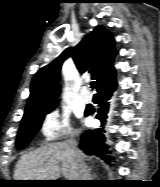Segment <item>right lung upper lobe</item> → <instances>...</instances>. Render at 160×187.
Wrapping results in <instances>:
<instances>
[{
    "instance_id": "right-lung-upper-lobe-1",
    "label": "right lung upper lobe",
    "mask_w": 160,
    "mask_h": 187,
    "mask_svg": "<svg viewBox=\"0 0 160 187\" xmlns=\"http://www.w3.org/2000/svg\"><path fill=\"white\" fill-rule=\"evenodd\" d=\"M114 38L110 31L98 25L75 47L64 50L54 61L42 67L31 82L26 113L50 108L60 94L59 76L64 60L72 57L80 73L88 72L99 84L116 73L114 68Z\"/></svg>"
}]
</instances>
